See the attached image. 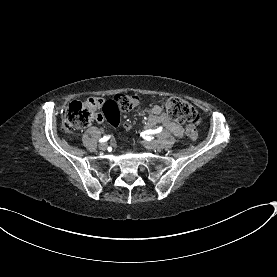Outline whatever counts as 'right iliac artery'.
Listing matches in <instances>:
<instances>
[{"label":"right iliac artery","instance_id":"82829eb1","mask_svg":"<svg viewBox=\"0 0 277 277\" xmlns=\"http://www.w3.org/2000/svg\"><path fill=\"white\" fill-rule=\"evenodd\" d=\"M109 139V137H107V136H104V137H102L101 139H99V142H106L107 140Z\"/></svg>","mask_w":277,"mask_h":277}]
</instances>
